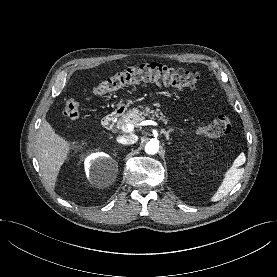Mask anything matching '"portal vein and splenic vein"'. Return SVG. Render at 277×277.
Instances as JSON below:
<instances>
[{
  "mask_svg": "<svg viewBox=\"0 0 277 277\" xmlns=\"http://www.w3.org/2000/svg\"><path fill=\"white\" fill-rule=\"evenodd\" d=\"M141 124H144V125H154V126L158 125L157 122L152 121V120H146V121L142 122ZM122 129L124 131H132L134 129V125L133 124H127V125L123 126Z\"/></svg>",
  "mask_w": 277,
  "mask_h": 277,
  "instance_id": "1",
  "label": "portal vein and splenic vein"
}]
</instances>
